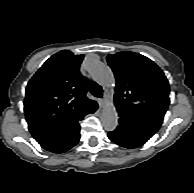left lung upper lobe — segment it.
I'll return each mask as SVG.
<instances>
[{"mask_svg": "<svg viewBox=\"0 0 194 193\" xmlns=\"http://www.w3.org/2000/svg\"><path fill=\"white\" fill-rule=\"evenodd\" d=\"M107 61L116 77L117 110L161 125L170 103L163 71L149 58L134 52L108 55Z\"/></svg>", "mask_w": 194, "mask_h": 193, "instance_id": "obj_1", "label": "left lung upper lobe"}]
</instances>
